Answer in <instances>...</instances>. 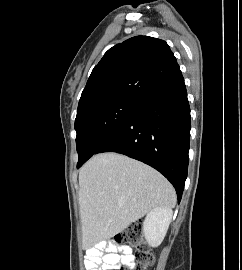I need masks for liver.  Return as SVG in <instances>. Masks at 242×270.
<instances>
[{
  "instance_id": "obj_1",
  "label": "liver",
  "mask_w": 242,
  "mask_h": 270,
  "mask_svg": "<svg viewBox=\"0 0 242 270\" xmlns=\"http://www.w3.org/2000/svg\"><path fill=\"white\" fill-rule=\"evenodd\" d=\"M82 243L114 237L156 207L176 204L172 185L148 165L117 153L93 156L79 172Z\"/></svg>"
}]
</instances>
